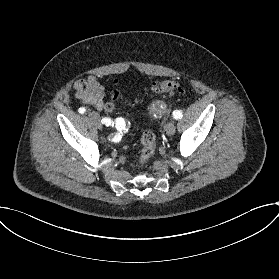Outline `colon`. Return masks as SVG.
Instances as JSON below:
<instances>
[{
    "label": "colon",
    "instance_id": "5ec220e1",
    "mask_svg": "<svg viewBox=\"0 0 279 279\" xmlns=\"http://www.w3.org/2000/svg\"><path fill=\"white\" fill-rule=\"evenodd\" d=\"M153 90L162 96H169L184 91L182 83L178 80H164L154 84ZM120 98V92L117 89H112L109 93V98L104 104V110L111 112L115 106V102ZM141 154L138 163L145 164L154 154L155 151V135L151 131H144L141 140Z\"/></svg>",
    "mask_w": 279,
    "mask_h": 279
}]
</instances>
